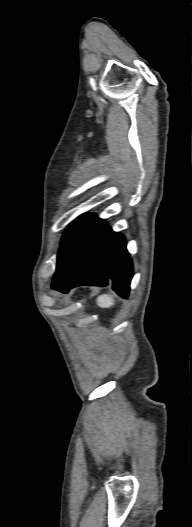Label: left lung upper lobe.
<instances>
[{"label": "left lung upper lobe", "instance_id": "left-lung-upper-lobe-1", "mask_svg": "<svg viewBox=\"0 0 192 527\" xmlns=\"http://www.w3.org/2000/svg\"><path fill=\"white\" fill-rule=\"evenodd\" d=\"M89 216H84L79 218L78 220L71 223V225L68 227V229L65 231L64 236L61 241V248L58 254V257L61 255L67 244L70 242V240L73 238V236L76 234V232L82 227V225L87 221Z\"/></svg>", "mask_w": 192, "mask_h": 527}]
</instances>
